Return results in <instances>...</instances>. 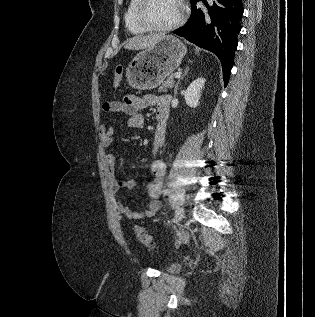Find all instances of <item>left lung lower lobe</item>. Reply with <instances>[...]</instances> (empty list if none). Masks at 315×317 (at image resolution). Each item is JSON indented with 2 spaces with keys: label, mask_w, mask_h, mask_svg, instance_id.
Masks as SVG:
<instances>
[{
  "label": "left lung lower lobe",
  "mask_w": 315,
  "mask_h": 317,
  "mask_svg": "<svg viewBox=\"0 0 315 317\" xmlns=\"http://www.w3.org/2000/svg\"><path fill=\"white\" fill-rule=\"evenodd\" d=\"M197 1L191 2L189 20L173 33L216 54L227 85L241 30L242 0H215L211 6L205 3L207 10L197 8Z\"/></svg>",
  "instance_id": "obj_1"
}]
</instances>
